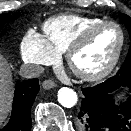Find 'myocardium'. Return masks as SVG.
Segmentation results:
<instances>
[{
  "mask_svg": "<svg viewBox=\"0 0 131 131\" xmlns=\"http://www.w3.org/2000/svg\"><path fill=\"white\" fill-rule=\"evenodd\" d=\"M115 26L120 32V43L119 46L111 59V61L102 69L95 72H83L75 68L73 60L76 53L81 50L90 40V38L101 28L105 26ZM126 43V34L123 27L116 21L103 20L99 23H96L87 29H85L68 47L66 51V60L69 67L75 73L76 76L85 81H99L107 77L118 65L120 58L122 56L124 47Z\"/></svg>",
  "mask_w": 131,
  "mask_h": 131,
  "instance_id": "f54148a6",
  "label": "myocardium"
}]
</instances>
